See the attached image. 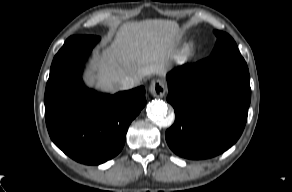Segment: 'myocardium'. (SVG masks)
Segmentation results:
<instances>
[{"instance_id": "1", "label": "myocardium", "mask_w": 292, "mask_h": 192, "mask_svg": "<svg viewBox=\"0 0 292 192\" xmlns=\"http://www.w3.org/2000/svg\"><path fill=\"white\" fill-rule=\"evenodd\" d=\"M195 49V45L193 43L188 44V46L186 47L185 53L187 55H191L194 52Z\"/></svg>"}]
</instances>
